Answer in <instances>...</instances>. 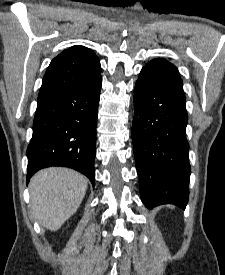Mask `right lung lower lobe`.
Instances as JSON below:
<instances>
[{
  "instance_id": "1",
  "label": "right lung lower lobe",
  "mask_w": 225,
  "mask_h": 275,
  "mask_svg": "<svg viewBox=\"0 0 225 275\" xmlns=\"http://www.w3.org/2000/svg\"><path fill=\"white\" fill-rule=\"evenodd\" d=\"M101 75L91 88L67 90L37 100L27 148V182L51 166L73 168L95 181L94 158Z\"/></svg>"
}]
</instances>
